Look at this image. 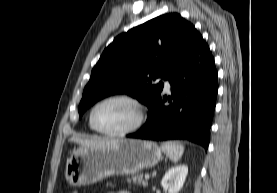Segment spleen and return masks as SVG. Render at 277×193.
<instances>
[{"instance_id":"1","label":"spleen","mask_w":277,"mask_h":193,"mask_svg":"<svg viewBox=\"0 0 277 193\" xmlns=\"http://www.w3.org/2000/svg\"><path fill=\"white\" fill-rule=\"evenodd\" d=\"M161 149L173 162L179 161L184 153V146L178 142H163Z\"/></svg>"}]
</instances>
